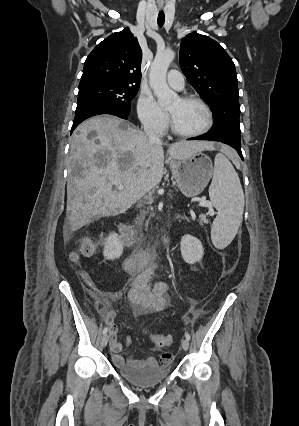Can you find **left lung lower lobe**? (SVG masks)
Returning a JSON list of instances; mask_svg holds the SVG:
<instances>
[{
  "instance_id": "left-lung-lower-lobe-1",
  "label": "left lung lower lobe",
  "mask_w": 299,
  "mask_h": 426,
  "mask_svg": "<svg viewBox=\"0 0 299 426\" xmlns=\"http://www.w3.org/2000/svg\"><path fill=\"white\" fill-rule=\"evenodd\" d=\"M188 140H210V141H218V142L225 143L233 147L243 160V156L241 152V141L235 137L224 135V134H212L209 132L207 134H204L198 137L189 138Z\"/></svg>"
}]
</instances>
